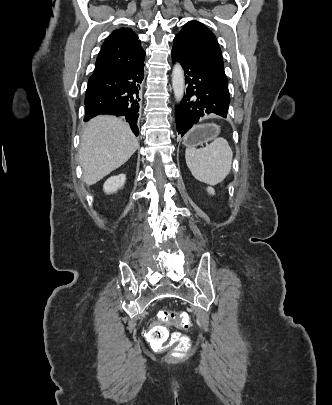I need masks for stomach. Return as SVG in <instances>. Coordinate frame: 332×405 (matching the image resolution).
Instances as JSON below:
<instances>
[{"label": "stomach", "mask_w": 332, "mask_h": 405, "mask_svg": "<svg viewBox=\"0 0 332 405\" xmlns=\"http://www.w3.org/2000/svg\"><path fill=\"white\" fill-rule=\"evenodd\" d=\"M220 128L216 124H200L194 126L184 137L183 144L187 148H196L207 144L218 137Z\"/></svg>", "instance_id": "1"}]
</instances>
